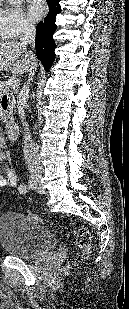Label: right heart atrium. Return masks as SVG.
Returning a JSON list of instances; mask_svg holds the SVG:
<instances>
[{
  "label": "right heart atrium",
  "mask_w": 129,
  "mask_h": 309,
  "mask_svg": "<svg viewBox=\"0 0 129 309\" xmlns=\"http://www.w3.org/2000/svg\"><path fill=\"white\" fill-rule=\"evenodd\" d=\"M33 23L18 5H0V37L15 40L31 33Z\"/></svg>",
  "instance_id": "d8ad5b80"
}]
</instances>
